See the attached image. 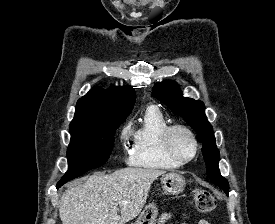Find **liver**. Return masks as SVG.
Returning a JSON list of instances; mask_svg holds the SVG:
<instances>
[{
  "label": "liver",
  "mask_w": 275,
  "mask_h": 224,
  "mask_svg": "<svg viewBox=\"0 0 275 224\" xmlns=\"http://www.w3.org/2000/svg\"><path fill=\"white\" fill-rule=\"evenodd\" d=\"M164 173L158 169L125 168L109 175H91L62 194V223L125 224L142 211L151 184Z\"/></svg>",
  "instance_id": "obj_1"
}]
</instances>
